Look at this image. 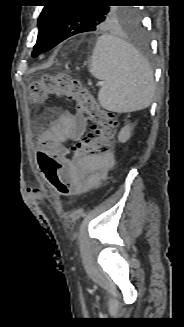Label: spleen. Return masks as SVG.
I'll use <instances>...</instances> for the list:
<instances>
[{
  "label": "spleen",
  "mask_w": 184,
  "mask_h": 327,
  "mask_svg": "<svg viewBox=\"0 0 184 327\" xmlns=\"http://www.w3.org/2000/svg\"><path fill=\"white\" fill-rule=\"evenodd\" d=\"M89 71L104 82L98 94L103 108L123 113L150 105L155 92L152 70L129 43L112 35L100 36L92 52Z\"/></svg>",
  "instance_id": "obj_1"
}]
</instances>
